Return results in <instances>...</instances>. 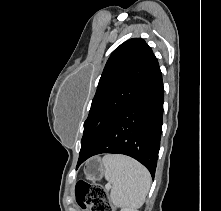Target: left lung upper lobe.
<instances>
[{"mask_svg":"<svg viewBox=\"0 0 221 211\" xmlns=\"http://www.w3.org/2000/svg\"><path fill=\"white\" fill-rule=\"evenodd\" d=\"M156 63L157 58L141 38L130 39L112 52L84 122L79 159L92 149L137 95Z\"/></svg>","mask_w":221,"mask_h":211,"instance_id":"5c2ea615","label":"left lung upper lobe"}]
</instances>
